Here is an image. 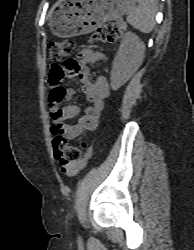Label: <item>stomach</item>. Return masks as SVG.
Instances as JSON below:
<instances>
[{
  "label": "stomach",
  "mask_w": 194,
  "mask_h": 250,
  "mask_svg": "<svg viewBox=\"0 0 194 250\" xmlns=\"http://www.w3.org/2000/svg\"><path fill=\"white\" fill-rule=\"evenodd\" d=\"M137 0H59L51 10V31L63 38L90 33L119 19Z\"/></svg>",
  "instance_id": "stomach-1"
}]
</instances>
